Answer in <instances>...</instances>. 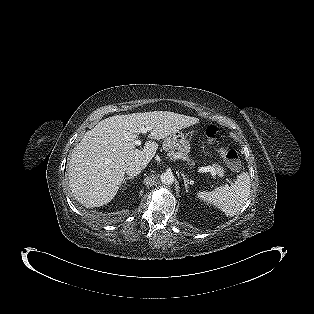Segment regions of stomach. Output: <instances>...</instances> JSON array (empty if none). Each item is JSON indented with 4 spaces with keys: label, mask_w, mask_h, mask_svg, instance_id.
<instances>
[{
    "label": "stomach",
    "mask_w": 314,
    "mask_h": 314,
    "mask_svg": "<svg viewBox=\"0 0 314 314\" xmlns=\"http://www.w3.org/2000/svg\"><path fill=\"white\" fill-rule=\"evenodd\" d=\"M164 141L169 143L167 149H172L180 153L183 156V160L184 158H188L191 149L190 143L180 130L166 137Z\"/></svg>",
    "instance_id": "0dacf381"
}]
</instances>
